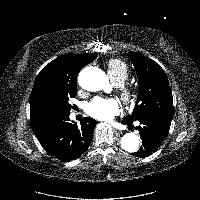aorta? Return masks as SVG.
Listing matches in <instances>:
<instances>
[{
	"instance_id": "obj_1",
	"label": "aorta",
	"mask_w": 200,
	"mask_h": 200,
	"mask_svg": "<svg viewBox=\"0 0 200 200\" xmlns=\"http://www.w3.org/2000/svg\"><path fill=\"white\" fill-rule=\"evenodd\" d=\"M79 84L87 91H99L108 86L106 74L97 67H88L79 74ZM121 148L127 152H136L140 145L139 136L135 133H126L121 138Z\"/></svg>"
}]
</instances>
